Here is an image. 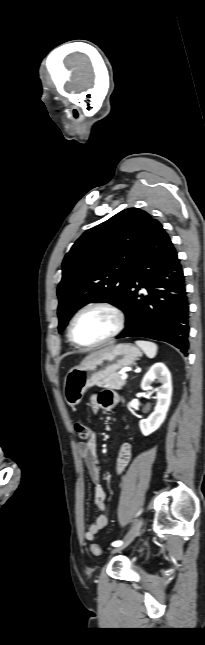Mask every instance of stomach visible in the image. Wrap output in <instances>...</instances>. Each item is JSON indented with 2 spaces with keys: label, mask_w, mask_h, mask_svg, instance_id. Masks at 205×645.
<instances>
[{
  "label": "stomach",
  "mask_w": 205,
  "mask_h": 645,
  "mask_svg": "<svg viewBox=\"0 0 205 645\" xmlns=\"http://www.w3.org/2000/svg\"><path fill=\"white\" fill-rule=\"evenodd\" d=\"M141 356L140 350L130 343H122L96 356L81 366L72 368L64 379V398L74 407L85 392L119 369L132 365Z\"/></svg>",
  "instance_id": "stomach-1"
}]
</instances>
